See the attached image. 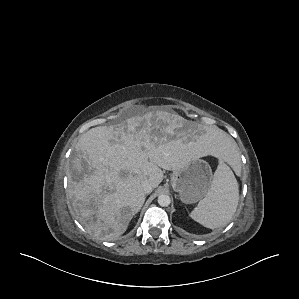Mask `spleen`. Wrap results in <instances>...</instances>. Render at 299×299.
Returning <instances> with one entry per match:
<instances>
[{"label": "spleen", "mask_w": 299, "mask_h": 299, "mask_svg": "<svg viewBox=\"0 0 299 299\" xmlns=\"http://www.w3.org/2000/svg\"><path fill=\"white\" fill-rule=\"evenodd\" d=\"M219 160L210 191L190 213L193 220L210 229L226 225L236 212L239 201L238 182L225 163L226 157Z\"/></svg>", "instance_id": "obj_1"}]
</instances>
